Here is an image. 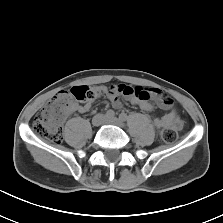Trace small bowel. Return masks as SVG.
<instances>
[{
    "label": "small bowel",
    "mask_w": 223,
    "mask_h": 223,
    "mask_svg": "<svg viewBox=\"0 0 223 223\" xmlns=\"http://www.w3.org/2000/svg\"><path fill=\"white\" fill-rule=\"evenodd\" d=\"M116 88V91L109 92L108 98L111 102V105L115 109H120L122 107V102L119 98V94H122L132 105H138L142 110L145 111H152L154 109V105L149 100H139L137 97H135L132 94H127L124 92L126 88H132L127 85H118L113 86ZM118 88H121V90H118ZM98 91H104V88H97ZM149 93L151 95V98L156 102V104L166 109L167 112L162 117H154L152 119V123L155 128L161 129L167 125H173L176 128L182 127V121L178 116V113L176 109L173 106L172 99L167 95L161 93L156 88H150ZM91 103L87 102L83 105H75L72 107L73 110H76L80 113H86L90 110Z\"/></svg>",
    "instance_id": "small-bowel-1"
}]
</instances>
